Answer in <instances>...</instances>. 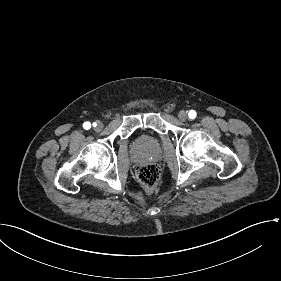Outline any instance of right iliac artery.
<instances>
[{
	"label": "right iliac artery",
	"instance_id": "right-iliac-artery-1",
	"mask_svg": "<svg viewBox=\"0 0 281 281\" xmlns=\"http://www.w3.org/2000/svg\"><path fill=\"white\" fill-rule=\"evenodd\" d=\"M93 125L96 126V123H94ZM83 127H84L86 130H88V129L91 128V124H90L89 122H85V123L83 124Z\"/></svg>",
	"mask_w": 281,
	"mask_h": 281
}]
</instances>
